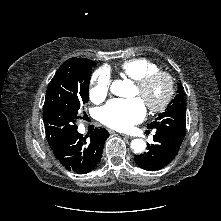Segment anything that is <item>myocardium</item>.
<instances>
[{"mask_svg":"<svg viewBox=\"0 0 221 221\" xmlns=\"http://www.w3.org/2000/svg\"><path fill=\"white\" fill-rule=\"evenodd\" d=\"M159 79H163L165 81L166 91L164 97L159 103H145L149 111L152 113H159L164 111L171 103L175 94L174 78L169 72L157 70L136 81V87L139 90L140 95L143 96L146 93V91Z\"/></svg>","mask_w":221,"mask_h":221,"instance_id":"f54148a6","label":"myocardium"}]
</instances>
